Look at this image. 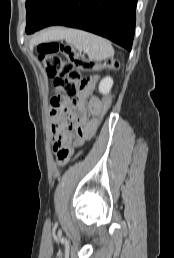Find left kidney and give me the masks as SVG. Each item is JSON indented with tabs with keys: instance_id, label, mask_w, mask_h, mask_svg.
Wrapping results in <instances>:
<instances>
[{
	"instance_id": "left-kidney-1",
	"label": "left kidney",
	"mask_w": 174,
	"mask_h": 258,
	"mask_svg": "<svg viewBox=\"0 0 174 258\" xmlns=\"http://www.w3.org/2000/svg\"><path fill=\"white\" fill-rule=\"evenodd\" d=\"M113 79L111 77H105L100 81L99 92L102 94H108L112 88Z\"/></svg>"
}]
</instances>
